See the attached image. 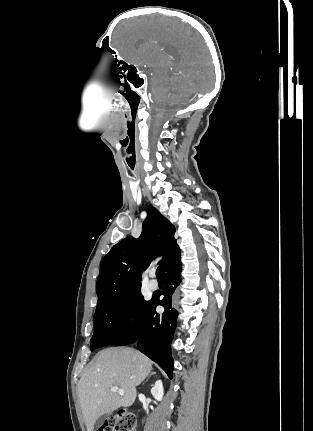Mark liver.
Returning a JSON list of instances; mask_svg holds the SVG:
<instances>
[{
	"mask_svg": "<svg viewBox=\"0 0 313 431\" xmlns=\"http://www.w3.org/2000/svg\"><path fill=\"white\" fill-rule=\"evenodd\" d=\"M151 370V360L131 348L100 351L78 383V397L87 431H93L102 415L131 406L137 396L136 386ZM113 386L123 389L124 395L111 392Z\"/></svg>",
	"mask_w": 313,
	"mask_h": 431,
	"instance_id": "liver-1",
	"label": "liver"
}]
</instances>
